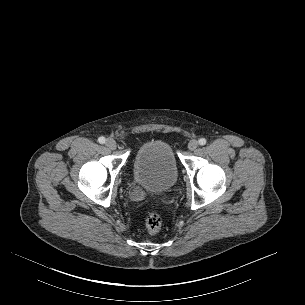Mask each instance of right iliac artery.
<instances>
[{
    "instance_id": "obj_1",
    "label": "right iliac artery",
    "mask_w": 305,
    "mask_h": 305,
    "mask_svg": "<svg viewBox=\"0 0 305 305\" xmlns=\"http://www.w3.org/2000/svg\"><path fill=\"white\" fill-rule=\"evenodd\" d=\"M98 142H99L100 144H104V143H105V138H104V137H99V138H98Z\"/></svg>"
}]
</instances>
